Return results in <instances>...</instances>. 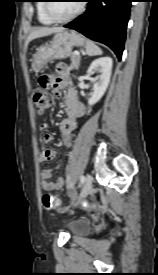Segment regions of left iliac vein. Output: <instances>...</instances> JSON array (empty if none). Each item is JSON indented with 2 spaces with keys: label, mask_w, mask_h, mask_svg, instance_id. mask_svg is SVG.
<instances>
[{
  "label": "left iliac vein",
  "mask_w": 158,
  "mask_h": 275,
  "mask_svg": "<svg viewBox=\"0 0 158 275\" xmlns=\"http://www.w3.org/2000/svg\"><path fill=\"white\" fill-rule=\"evenodd\" d=\"M92 190V176L90 174H87L85 176V181H84V185H83V189H82V193H81V198H85L89 195V193Z\"/></svg>",
  "instance_id": "obj_1"
}]
</instances>
